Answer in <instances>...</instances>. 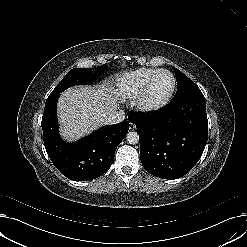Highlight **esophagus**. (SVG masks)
Listing matches in <instances>:
<instances>
[{
	"label": "esophagus",
	"mask_w": 247,
	"mask_h": 247,
	"mask_svg": "<svg viewBox=\"0 0 247 247\" xmlns=\"http://www.w3.org/2000/svg\"><path fill=\"white\" fill-rule=\"evenodd\" d=\"M136 129V125L134 123H131L129 124V130L133 131Z\"/></svg>",
	"instance_id": "1"
}]
</instances>
